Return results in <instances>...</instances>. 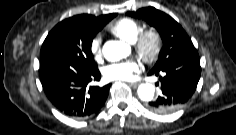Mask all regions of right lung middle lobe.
Instances as JSON below:
<instances>
[{
	"instance_id": "1",
	"label": "right lung middle lobe",
	"mask_w": 236,
	"mask_h": 135,
	"mask_svg": "<svg viewBox=\"0 0 236 135\" xmlns=\"http://www.w3.org/2000/svg\"><path fill=\"white\" fill-rule=\"evenodd\" d=\"M117 14L102 24L79 18H68L58 23L47 35L41 47L40 69L81 67L96 69L91 45L94 36Z\"/></svg>"
}]
</instances>
